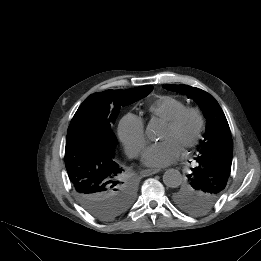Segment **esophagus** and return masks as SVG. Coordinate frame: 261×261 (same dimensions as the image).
Instances as JSON below:
<instances>
[{
  "mask_svg": "<svg viewBox=\"0 0 261 261\" xmlns=\"http://www.w3.org/2000/svg\"><path fill=\"white\" fill-rule=\"evenodd\" d=\"M158 172H160L159 169H145V170H142L140 172V174L143 176V177H147V176H150V175H153V174H157Z\"/></svg>",
  "mask_w": 261,
  "mask_h": 261,
  "instance_id": "1",
  "label": "esophagus"
}]
</instances>
